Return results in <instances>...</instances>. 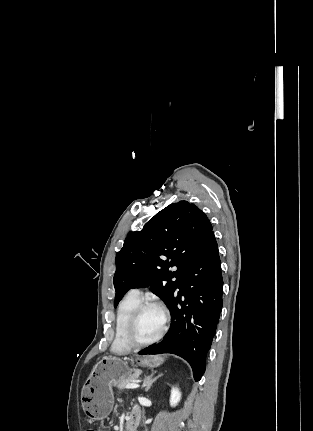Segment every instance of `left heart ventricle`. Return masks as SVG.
Listing matches in <instances>:
<instances>
[{
    "mask_svg": "<svg viewBox=\"0 0 313 431\" xmlns=\"http://www.w3.org/2000/svg\"><path fill=\"white\" fill-rule=\"evenodd\" d=\"M163 316L159 309L150 307L145 309L138 320L135 336L139 341L152 339L160 331Z\"/></svg>",
    "mask_w": 313,
    "mask_h": 431,
    "instance_id": "left-heart-ventricle-1",
    "label": "left heart ventricle"
}]
</instances>
